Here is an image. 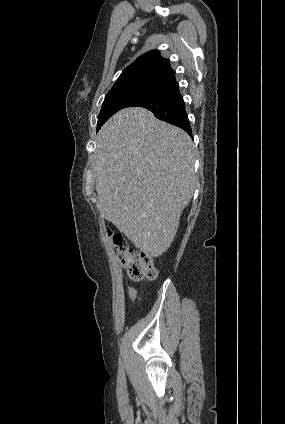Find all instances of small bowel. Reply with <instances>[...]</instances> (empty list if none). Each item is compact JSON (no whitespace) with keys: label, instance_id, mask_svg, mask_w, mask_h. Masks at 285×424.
Instances as JSON below:
<instances>
[{"label":"small bowel","instance_id":"c3829d8e","mask_svg":"<svg viewBox=\"0 0 285 424\" xmlns=\"http://www.w3.org/2000/svg\"><path fill=\"white\" fill-rule=\"evenodd\" d=\"M128 298L132 303L137 301V291L133 287L127 288Z\"/></svg>","mask_w":285,"mask_h":424}]
</instances>
